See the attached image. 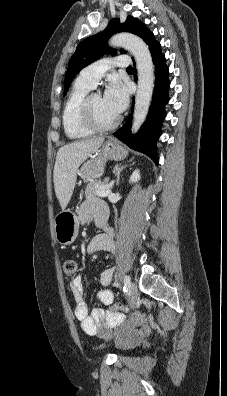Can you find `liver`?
Returning <instances> with one entry per match:
<instances>
[{
	"instance_id": "6515ba94",
	"label": "liver",
	"mask_w": 227,
	"mask_h": 396,
	"mask_svg": "<svg viewBox=\"0 0 227 396\" xmlns=\"http://www.w3.org/2000/svg\"><path fill=\"white\" fill-rule=\"evenodd\" d=\"M104 138L97 137L72 142L59 148L56 156L53 181L56 197L64 210L73 194L79 166L96 152Z\"/></svg>"
}]
</instances>
